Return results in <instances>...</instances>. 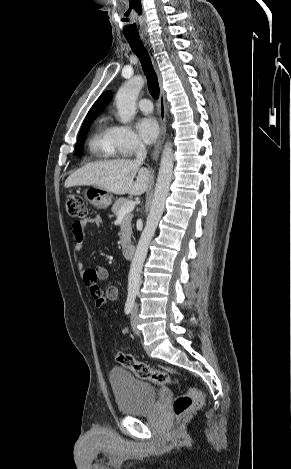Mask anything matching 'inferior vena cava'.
Masks as SVG:
<instances>
[{"instance_id":"1","label":"inferior vena cava","mask_w":291,"mask_h":469,"mask_svg":"<svg viewBox=\"0 0 291 469\" xmlns=\"http://www.w3.org/2000/svg\"><path fill=\"white\" fill-rule=\"evenodd\" d=\"M135 153H136V162H143L146 158V155H147V150H146V147L145 145L143 144V142L141 140H137L136 142V150H135Z\"/></svg>"}]
</instances>
